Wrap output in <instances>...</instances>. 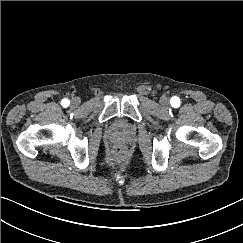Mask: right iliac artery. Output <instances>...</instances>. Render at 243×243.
<instances>
[{"label": "right iliac artery", "instance_id": "82829eb1", "mask_svg": "<svg viewBox=\"0 0 243 243\" xmlns=\"http://www.w3.org/2000/svg\"><path fill=\"white\" fill-rule=\"evenodd\" d=\"M69 103L70 102H69L68 99H63L62 102H61L62 106H64V107H67L69 105Z\"/></svg>", "mask_w": 243, "mask_h": 243}]
</instances>
